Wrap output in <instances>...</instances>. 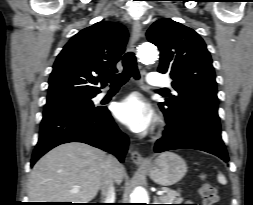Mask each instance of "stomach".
<instances>
[{"instance_id": "0dacf381", "label": "stomach", "mask_w": 253, "mask_h": 205, "mask_svg": "<svg viewBox=\"0 0 253 205\" xmlns=\"http://www.w3.org/2000/svg\"><path fill=\"white\" fill-rule=\"evenodd\" d=\"M151 179L163 186H170L181 180L186 172L185 161L173 152H164L154 161L143 166Z\"/></svg>"}]
</instances>
